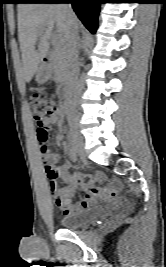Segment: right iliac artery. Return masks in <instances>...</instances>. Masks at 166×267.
I'll return each instance as SVG.
<instances>
[{
  "instance_id": "obj_1",
  "label": "right iliac artery",
  "mask_w": 166,
  "mask_h": 267,
  "mask_svg": "<svg viewBox=\"0 0 166 267\" xmlns=\"http://www.w3.org/2000/svg\"><path fill=\"white\" fill-rule=\"evenodd\" d=\"M77 156H78V151L74 145V143L70 142V158L75 162L77 160Z\"/></svg>"
}]
</instances>
